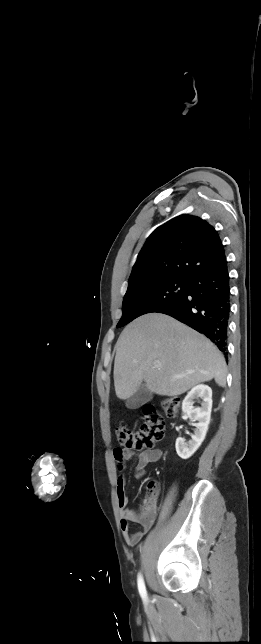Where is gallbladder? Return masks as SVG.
<instances>
[{
    "label": "gallbladder",
    "mask_w": 261,
    "mask_h": 644,
    "mask_svg": "<svg viewBox=\"0 0 261 644\" xmlns=\"http://www.w3.org/2000/svg\"><path fill=\"white\" fill-rule=\"evenodd\" d=\"M152 399V393L142 384L138 390L126 401V407L131 410L138 409Z\"/></svg>",
    "instance_id": "obj_1"
}]
</instances>
